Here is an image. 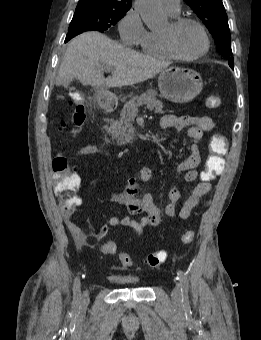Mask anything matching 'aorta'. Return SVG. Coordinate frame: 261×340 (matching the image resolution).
<instances>
[{"mask_svg": "<svg viewBox=\"0 0 261 340\" xmlns=\"http://www.w3.org/2000/svg\"><path fill=\"white\" fill-rule=\"evenodd\" d=\"M136 8L148 27L162 25L165 16L162 13L159 0H136Z\"/></svg>", "mask_w": 261, "mask_h": 340, "instance_id": "762f6f07", "label": "aorta"}]
</instances>
